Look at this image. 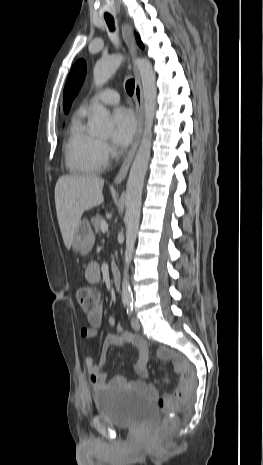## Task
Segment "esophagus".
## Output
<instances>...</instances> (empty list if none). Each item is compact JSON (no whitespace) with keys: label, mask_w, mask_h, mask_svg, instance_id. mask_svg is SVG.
Segmentation results:
<instances>
[{"label":"esophagus","mask_w":263,"mask_h":465,"mask_svg":"<svg viewBox=\"0 0 263 465\" xmlns=\"http://www.w3.org/2000/svg\"><path fill=\"white\" fill-rule=\"evenodd\" d=\"M122 32H123V37L125 39L127 47L129 49V52L132 58H135L137 55V46H136L133 29L131 25L124 22L122 24ZM133 71L135 75L134 101H135V111H136V116H137V121H138V127H137V131H136L132 146L129 149L127 155L125 156L122 166L114 179L115 184L121 183L127 176L129 167L133 161V158L139 146V142H140V138H141V134L143 130V124H144L143 92H142L140 74H139V71L136 65H134Z\"/></svg>","instance_id":"obj_1"}]
</instances>
